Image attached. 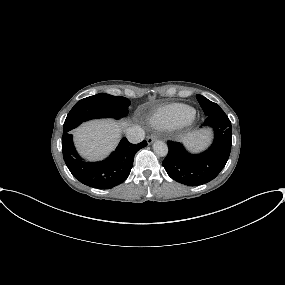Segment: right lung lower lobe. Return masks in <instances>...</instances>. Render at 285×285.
I'll return each instance as SVG.
<instances>
[{"instance_id": "right-lung-lower-lobe-1", "label": "right lung lower lobe", "mask_w": 285, "mask_h": 285, "mask_svg": "<svg viewBox=\"0 0 285 285\" xmlns=\"http://www.w3.org/2000/svg\"><path fill=\"white\" fill-rule=\"evenodd\" d=\"M145 146V140L135 145L123 138L105 160L86 162L76 152L72 134L67 132L62 136L63 158L72 175L81 183L98 189H110L124 182L130 174L136 152Z\"/></svg>"}]
</instances>
